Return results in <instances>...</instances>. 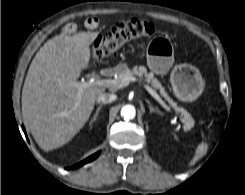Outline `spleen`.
Instances as JSON below:
<instances>
[{
    "label": "spleen",
    "mask_w": 245,
    "mask_h": 195,
    "mask_svg": "<svg viewBox=\"0 0 245 195\" xmlns=\"http://www.w3.org/2000/svg\"><path fill=\"white\" fill-rule=\"evenodd\" d=\"M205 151H206V146H204V145L200 146L199 149H198V152L201 153V154H203ZM195 161H196V159H194L191 162V164H193Z\"/></svg>",
    "instance_id": "spleen-1"
}]
</instances>
